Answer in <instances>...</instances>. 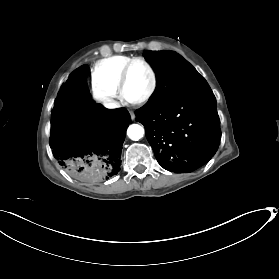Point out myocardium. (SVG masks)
<instances>
[{
  "label": "myocardium",
  "mask_w": 279,
  "mask_h": 279,
  "mask_svg": "<svg viewBox=\"0 0 279 279\" xmlns=\"http://www.w3.org/2000/svg\"><path fill=\"white\" fill-rule=\"evenodd\" d=\"M135 63H141L147 68V70L151 76V86L144 96L133 100V99H129L126 95V83H127L129 71ZM156 89H157L156 72L153 69V67L150 65V63L147 62L144 58L134 57V58L130 59L124 65V67L122 68V70L120 72L119 79H118V94H119L121 100L123 101V103L129 104V105H142L153 97V95L156 92Z\"/></svg>",
  "instance_id": "f54148a6"
}]
</instances>
